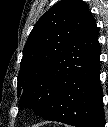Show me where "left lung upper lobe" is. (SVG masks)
<instances>
[{
    "label": "left lung upper lobe",
    "instance_id": "5c2ea615",
    "mask_svg": "<svg viewBox=\"0 0 108 127\" xmlns=\"http://www.w3.org/2000/svg\"><path fill=\"white\" fill-rule=\"evenodd\" d=\"M88 6L82 0H62L35 24L23 50L17 91L20 104L39 115L58 89L64 57L83 25Z\"/></svg>",
    "mask_w": 108,
    "mask_h": 127
}]
</instances>
